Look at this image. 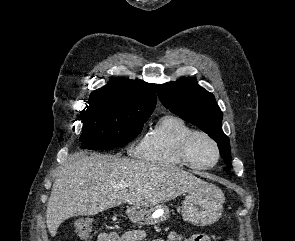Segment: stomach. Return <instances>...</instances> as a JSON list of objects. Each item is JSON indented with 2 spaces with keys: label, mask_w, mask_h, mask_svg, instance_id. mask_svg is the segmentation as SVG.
<instances>
[{
  "label": "stomach",
  "mask_w": 295,
  "mask_h": 241,
  "mask_svg": "<svg viewBox=\"0 0 295 241\" xmlns=\"http://www.w3.org/2000/svg\"><path fill=\"white\" fill-rule=\"evenodd\" d=\"M225 197L216 186L208 184L200 190L188 193L182 204L183 220L195 226L211 225L219 220L223 212ZM128 218L141 225H153L167 219L169 209L162 204L132 205L126 210Z\"/></svg>",
  "instance_id": "1"
}]
</instances>
